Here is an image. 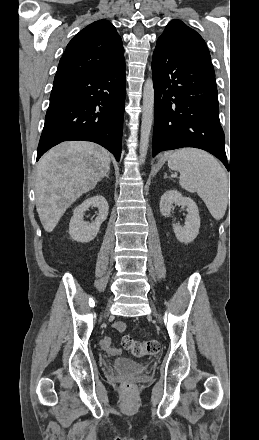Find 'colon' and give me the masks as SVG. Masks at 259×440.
Instances as JSON below:
<instances>
[{"label": "colon", "mask_w": 259, "mask_h": 440, "mask_svg": "<svg viewBox=\"0 0 259 440\" xmlns=\"http://www.w3.org/2000/svg\"><path fill=\"white\" fill-rule=\"evenodd\" d=\"M122 344L125 349L130 351L136 357L155 355L160 348L159 343L156 340L138 341L127 335L122 338ZM121 386L124 390H130L132 388V384L127 381L123 382Z\"/></svg>", "instance_id": "obj_1"}]
</instances>
